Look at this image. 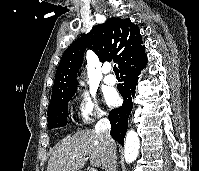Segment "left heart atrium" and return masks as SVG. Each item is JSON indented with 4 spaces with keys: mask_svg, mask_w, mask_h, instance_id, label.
Returning <instances> with one entry per match:
<instances>
[{
    "mask_svg": "<svg viewBox=\"0 0 199 171\" xmlns=\"http://www.w3.org/2000/svg\"><path fill=\"white\" fill-rule=\"evenodd\" d=\"M106 102L108 105L110 106H115L117 105L118 101H119V97L115 92H109L106 97Z\"/></svg>",
    "mask_w": 199,
    "mask_h": 171,
    "instance_id": "obj_1",
    "label": "left heart atrium"
}]
</instances>
